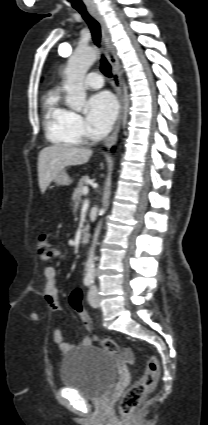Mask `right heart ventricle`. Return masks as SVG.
<instances>
[{
    "label": "right heart ventricle",
    "instance_id": "1",
    "mask_svg": "<svg viewBox=\"0 0 208 425\" xmlns=\"http://www.w3.org/2000/svg\"><path fill=\"white\" fill-rule=\"evenodd\" d=\"M44 129L47 139L61 146H74L80 140L71 128L72 112L63 106L58 92L49 93L43 104Z\"/></svg>",
    "mask_w": 208,
    "mask_h": 425
}]
</instances>
